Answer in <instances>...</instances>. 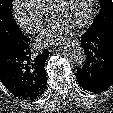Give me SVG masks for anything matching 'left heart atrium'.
Returning <instances> with one entry per match:
<instances>
[{"label": "left heart atrium", "mask_w": 113, "mask_h": 113, "mask_svg": "<svg viewBox=\"0 0 113 113\" xmlns=\"http://www.w3.org/2000/svg\"><path fill=\"white\" fill-rule=\"evenodd\" d=\"M71 30L72 28L67 27L59 22L53 21L47 30L43 33L41 41L47 45L55 44L69 35Z\"/></svg>", "instance_id": "39dd6f15"}]
</instances>
